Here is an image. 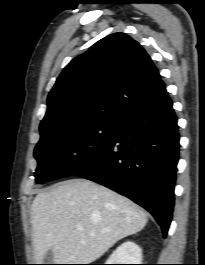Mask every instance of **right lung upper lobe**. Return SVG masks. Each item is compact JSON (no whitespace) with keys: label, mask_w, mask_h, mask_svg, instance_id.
Wrapping results in <instances>:
<instances>
[{"label":"right lung upper lobe","mask_w":205,"mask_h":265,"mask_svg":"<svg viewBox=\"0 0 205 265\" xmlns=\"http://www.w3.org/2000/svg\"><path fill=\"white\" fill-rule=\"evenodd\" d=\"M165 91L158 69L142 46L124 33H114L64 68L48 95L40 132L119 123L149 107Z\"/></svg>","instance_id":"cb5924a9"}]
</instances>
